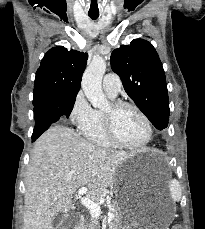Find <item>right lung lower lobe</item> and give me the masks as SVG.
Here are the masks:
<instances>
[{
    "label": "right lung lower lobe",
    "instance_id": "right-lung-lower-lobe-1",
    "mask_svg": "<svg viewBox=\"0 0 205 229\" xmlns=\"http://www.w3.org/2000/svg\"><path fill=\"white\" fill-rule=\"evenodd\" d=\"M75 101L68 99V96L56 97L47 100L34 107L35 128L32 134L34 142L52 123L60 117H69Z\"/></svg>",
    "mask_w": 205,
    "mask_h": 229
}]
</instances>
